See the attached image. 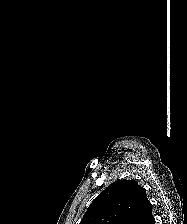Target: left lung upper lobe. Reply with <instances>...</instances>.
<instances>
[{
	"instance_id": "left-lung-upper-lobe-1",
	"label": "left lung upper lobe",
	"mask_w": 187,
	"mask_h": 224,
	"mask_svg": "<svg viewBox=\"0 0 187 224\" xmlns=\"http://www.w3.org/2000/svg\"><path fill=\"white\" fill-rule=\"evenodd\" d=\"M154 223L146 190L135 180H118L92 201L79 224Z\"/></svg>"
}]
</instances>
